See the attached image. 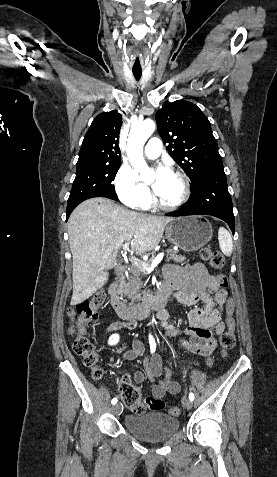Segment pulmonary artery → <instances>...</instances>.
Returning a JSON list of instances; mask_svg holds the SVG:
<instances>
[{
	"instance_id": "obj_1",
	"label": "pulmonary artery",
	"mask_w": 277,
	"mask_h": 477,
	"mask_svg": "<svg viewBox=\"0 0 277 477\" xmlns=\"http://www.w3.org/2000/svg\"><path fill=\"white\" fill-rule=\"evenodd\" d=\"M162 151L161 140L157 137L151 138L145 146L144 155L147 158H157Z\"/></svg>"
}]
</instances>
